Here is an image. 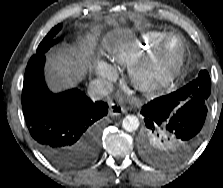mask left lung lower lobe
Listing matches in <instances>:
<instances>
[{"label": "left lung lower lobe", "instance_id": "left-lung-lower-lobe-1", "mask_svg": "<svg viewBox=\"0 0 223 188\" xmlns=\"http://www.w3.org/2000/svg\"><path fill=\"white\" fill-rule=\"evenodd\" d=\"M145 129L169 132L187 156L198 145L207 115V106L195 101L179 102L169 95L155 98L143 106Z\"/></svg>", "mask_w": 223, "mask_h": 188}]
</instances>
